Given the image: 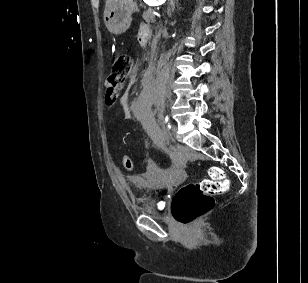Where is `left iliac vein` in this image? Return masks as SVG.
<instances>
[{
    "label": "left iliac vein",
    "instance_id": "obj_1",
    "mask_svg": "<svg viewBox=\"0 0 308 283\" xmlns=\"http://www.w3.org/2000/svg\"><path fill=\"white\" fill-rule=\"evenodd\" d=\"M177 135V126L172 125L169 134L167 135L168 141H174V137Z\"/></svg>",
    "mask_w": 308,
    "mask_h": 283
}]
</instances>
